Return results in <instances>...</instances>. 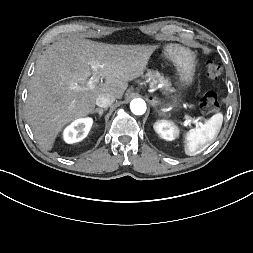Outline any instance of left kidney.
I'll use <instances>...</instances> for the list:
<instances>
[{
	"label": "left kidney",
	"instance_id": "left-kidney-1",
	"mask_svg": "<svg viewBox=\"0 0 253 253\" xmlns=\"http://www.w3.org/2000/svg\"><path fill=\"white\" fill-rule=\"evenodd\" d=\"M154 130L159 134L163 139L172 141L176 134L178 133V130L176 127L166 120L159 121L155 123Z\"/></svg>",
	"mask_w": 253,
	"mask_h": 253
}]
</instances>
